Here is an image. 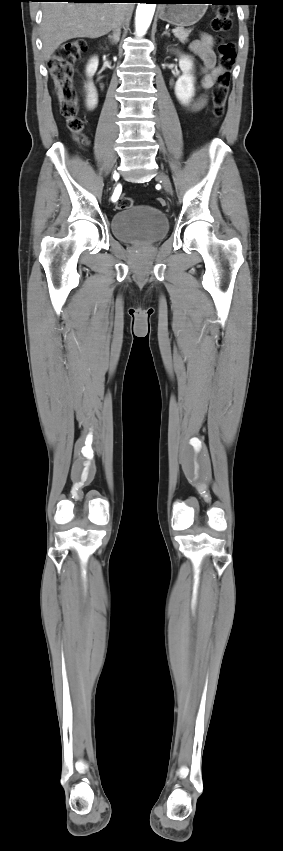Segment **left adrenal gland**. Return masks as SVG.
Here are the masks:
<instances>
[{"mask_svg":"<svg viewBox=\"0 0 283 851\" xmlns=\"http://www.w3.org/2000/svg\"><path fill=\"white\" fill-rule=\"evenodd\" d=\"M162 35H168V36H169L170 34H169V32H168V31H164V32L162 33Z\"/></svg>","mask_w":283,"mask_h":851,"instance_id":"1","label":"left adrenal gland"}]
</instances>
